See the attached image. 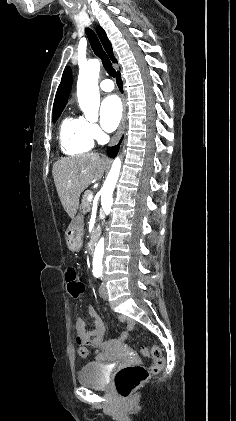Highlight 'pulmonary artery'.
Wrapping results in <instances>:
<instances>
[{"instance_id":"e3ab8cb5","label":"pulmonary artery","mask_w":236,"mask_h":421,"mask_svg":"<svg viewBox=\"0 0 236 421\" xmlns=\"http://www.w3.org/2000/svg\"><path fill=\"white\" fill-rule=\"evenodd\" d=\"M100 88L105 92H110L115 89V84L111 80L105 79L100 82Z\"/></svg>"}]
</instances>
